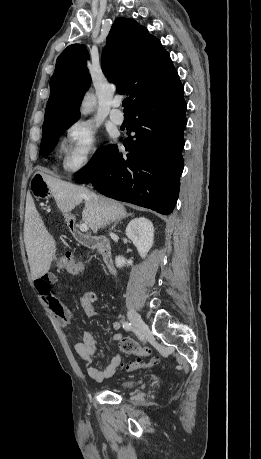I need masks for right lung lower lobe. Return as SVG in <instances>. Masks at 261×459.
Here are the masks:
<instances>
[{
  "label": "right lung lower lobe",
  "mask_w": 261,
  "mask_h": 459,
  "mask_svg": "<svg viewBox=\"0 0 261 459\" xmlns=\"http://www.w3.org/2000/svg\"><path fill=\"white\" fill-rule=\"evenodd\" d=\"M184 88L168 92L131 109L136 135L124 140L127 153L111 145L102 163L76 182H92L110 198L170 214L177 202L183 171L186 126Z\"/></svg>",
  "instance_id": "obj_1"
}]
</instances>
